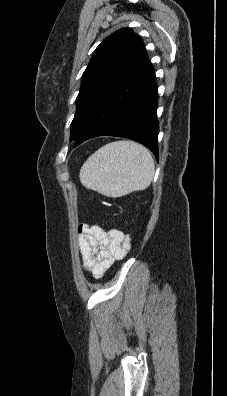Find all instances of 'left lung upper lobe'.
Wrapping results in <instances>:
<instances>
[{
  "mask_svg": "<svg viewBox=\"0 0 227 396\" xmlns=\"http://www.w3.org/2000/svg\"><path fill=\"white\" fill-rule=\"evenodd\" d=\"M147 58L142 39L130 28L119 29L101 42L82 75L70 141L78 138L102 99Z\"/></svg>",
  "mask_w": 227,
  "mask_h": 396,
  "instance_id": "5c2ea615",
  "label": "left lung upper lobe"
}]
</instances>
